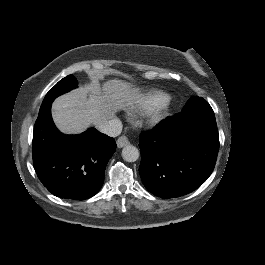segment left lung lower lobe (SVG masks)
I'll use <instances>...</instances> for the list:
<instances>
[{
	"instance_id": "1",
	"label": "left lung lower lobe",
	"mask_w": 265,
	"mask_h": 265,
	"mask_svg": "<svg viewBox=\"0 0 265 265\" xmlns=\"http://www.w3.org/2000/svg\"><path fill=\"white\" fill-rule=\"evenodd\" d=\"M139 167L144 186L161 198L200 187L211 175L219 150L214 112L205 102L161 121L140 134Z\"/></svg>"
}]
</instances>
